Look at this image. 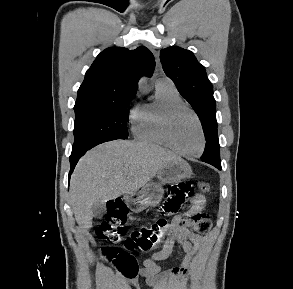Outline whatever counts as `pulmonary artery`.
I'll use <instances>...</instances> for the list:
<instances>
[{
  "mask_svg": "<svg viewBox=\"0 0 293 289\" xmlns=\"http://www.w3.org/2000/svg\"><path fill=\"white\" fill-rule=\"evenodd\" d=\"M173 85L169 78H161L156 81V86Z\"/></svg>",
  "mask_w": 293,
  "mask_h": 289,
  "instance_id": "pulmonary-artery-1",
  "label": "pulmonary artery"
}]
</instances>
